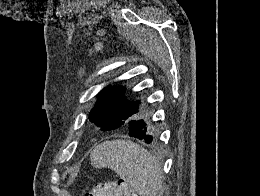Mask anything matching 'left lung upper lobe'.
Returning a JSON list of instances; mask_svg holds the SVG:
<instances>
[{"mask_svg":"<svg viewBox=\"0 0 260 196\" xmlns=\"http://www.w3.org/2000/svg\"><path fill=\"white\" fill-rule=\"evenodd\" d=\"M124 87H106L101 91V96L97 105L91 110L89 119L101 128L103 131L115 130L118 128H128L130 123H144L148 127V132L152 133L153 141L157 139L158 127L154 121L151 109L146 106H140L139 101L128 102L125 100L123 93ZM112 107H127L133 110V114L124 122L118 124L101 122L100 117Z\"/></svg>","mask_w":260,"mask_h":196,"instance_id":"5c2ea615","label":"left lung upper lobe"}]
</instances>
